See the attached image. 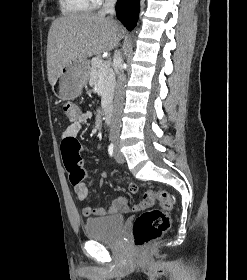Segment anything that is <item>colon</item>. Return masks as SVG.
<instances>
[{
	"mask_svg": "<svg viewBox=\"0 0 247 280\" xmlns=\"http://www.w3.org/2000/svg\"><path fill=\"white\" fill-rule=\"evenodd\" d=\"M64 114L69 121H75L80 115V110L74 103L64 105ZM81 145L77 139L62 141L61 151L65 168L71 183L77 191H87L89 184L98 183V178L86 177L80 156ZM133 193L138 191L137 186L131 185ZM147 202L158 201L160 209H149L142 212L133 224V239L137 247H144L151 241L161 237L170 227L169 213L173 208L171 195L165 190L149 189L144 194Z\"/></svg>",
	"mask_w": 247,
	"mask_h": 280,
	"instance_id": "1",
	"label": "colon"
}]
</instances>
